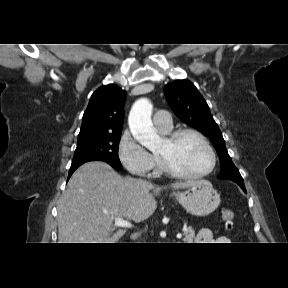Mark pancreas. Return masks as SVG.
Instances as JSON below:
<instances>
[{"label":"pancreas","mask_w":288,"mask_h":288,"mask_svg":"<svg viewBox=\"0 0 288 288\" xmlns=\"http://www.w3.org/2000/svg\"><path fill=\"white\" fill-rule=\"evenodd\" d=\"M184 235L183 241L185 243H191L195 237V232L191 227H187L184 231Z\"/></svg>","instance_id":"obj_1"}]
</instances>
